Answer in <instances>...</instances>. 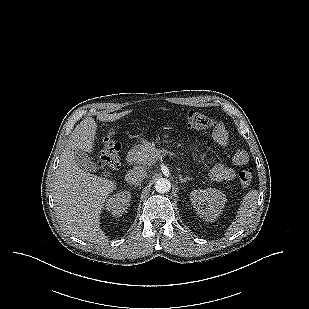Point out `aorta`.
Masks as SVG:
<instances>
[{"label":"aorta","instance_id":"obj_1","mask_svg":"<svg viewBox=\"0 0 309 309\" xmlns=\"http://www.w3.org/2000/svg\"><path fill=\"white\" fill-rule=\"evenodd\" d=\"M170 189H171V183L166 178H159L155 182V190L159 193L169 192Z\"/></svg>","mask_w":309,"mask_h":309}]
</instances>
